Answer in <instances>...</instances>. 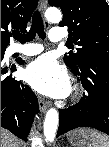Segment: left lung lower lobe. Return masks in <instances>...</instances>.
Segmentation results:
<instances>
[{
    "label": "left lung lower lobe",
    "instance_id": "obj_1",
    "mask_svg": "<svg viewBox=\"0 0 109 147\" xmlns=\"http://www.w3.org/2000/svg\"><path fill=\"white\" fill-rule=\"evenodd\" d=\"M86 94L77 104L59 111L57 137L78 127L109 135V59L92 56L78 74Z\"/></svg>",
    "mask_w": 109,
    "mask_h": 147
}]
</instances>
